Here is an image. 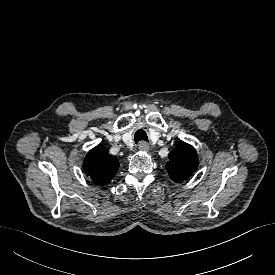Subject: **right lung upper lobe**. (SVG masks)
I'll use <instances>...</instances> for the list:
<instances>
[{
	"instance_id": "obj_1",
	"label": "right lung upper lobe",
	"mask_w": 275,
	"mask_h": 275,
	"mask_svg": "<svg viewBox=\"0 0 275 275\" xmlns=\"http://www.w3.org/2000/svg\"><path fill=\"white\" fill-rule=\"evenodd\" d=\"M119 162L117 157L101 144L88 152L83 162V169L91 179L101 185L108 184L117 173Z\"/></svg>"
}]
</instances>
